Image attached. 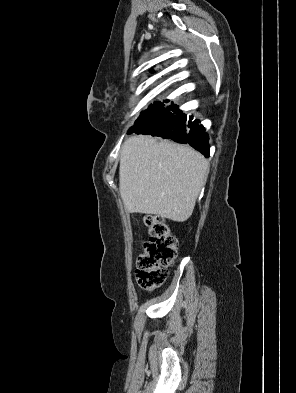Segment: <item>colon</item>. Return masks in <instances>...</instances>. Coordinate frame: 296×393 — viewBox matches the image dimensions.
Here are the masks:
<instances>
[{
    "label": "colon",
    "mask_w": 296,
    "mask_h": 393,
    "mask_svg": "<svg viewBox=\"0 0 296 393\" xmlns=\"http://www.w3.org/2000/svg\"><path fill=\"white\" fill-rule=\"evenodd\" d=\"M144 223L149 237L142 244L136 277L143 289L152 291L161 286L167 277V269L177 254V239L163 217L148 214L144 216Z\"/></svg>",
    "instance_id": "obj_1"
}]
</instances>
